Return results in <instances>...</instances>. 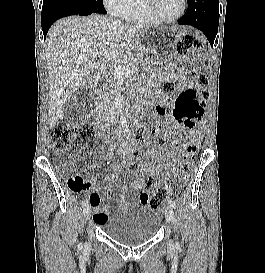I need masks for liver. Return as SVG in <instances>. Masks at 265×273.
Returning a JSON list of instances; mask_svg holds the SVG:
<instances>
[{
  "instance_id": "liver-1",
  "label": "liver",
  "mask_w": 265,
  "mask_h": 273,
  "mask_svg": "<svg viewBox=\"0 0 265 273\" xmlns=\"http://www.w3.org/2000/svg\"><path fill=\"white\" fill-rule=\"evenodd\" d=\"M143 30L142 25H124L102 15L66 17L51 27L46 39L51 127L62 118L72 94L93 87ZM97 53L100 57L95 62Z\"/></svg>"
}]
</instances>
